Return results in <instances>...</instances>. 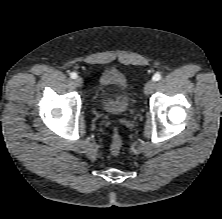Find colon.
I'll list each match as a JSON object with an SVG mask.
<instances>
[{
  "mask_svg": "<svg viewBox=\"0 0 222 219\" xmlns=\"http://www.w3.org/2000/svg\"><path fill=\"white\" fill-rule=\"evenodd\" d=\"M121 148H122L121 137L117 132H115L113 134L112 141H111V146H110L112 154H114V155L119 154L120 151H121Z\"/></svg>",
  "mask_w": 222,
  "mask_h": 219,
  "instance_id": "colon-1",
  "label": "colon"
}]
</instances>
